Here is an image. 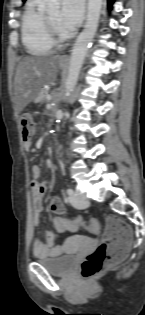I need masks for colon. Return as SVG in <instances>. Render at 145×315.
<instances>
[{"label": "colon", "instance_id": "colon-1", "mask_svg": "<svg viewBox=\"0 0 145 315\" xmlns=\"http://www.w3.org/2000/svg\"><path fill=\"white\" fill-rule=\"evenodd\" d=\"M22 138L29 141L35 132V121L31 113L24 112L20 116ZM52 209L58 213L63 211L58 204H53ZM79 226L85 227L92 233H97L99 223L91 219L87 222L82 219L76 220ZM132 241L130 227L115 216L106 219V230L99 246L82 262L80 272L86 278H92L106 269L117 265L127 254Z\"/></svg>", "mask_w": 145, "mask_h": 315}]
</instances>
